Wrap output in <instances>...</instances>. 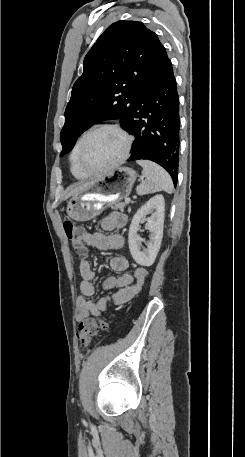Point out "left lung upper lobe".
<instances>
[{"label":"left lung upper lobe","mask_w":245,"mask_h":457,"mask_svg":"<svg viewBox=\"0 0 245 457\" xmlns=\"http://www.w3.org/2000/svg\"><path fill=\"white\" fill-rule=\"evenodd\" d=\"M160 44L156 33L141 22L120 20L103 32L85 56L83 74L73 85L60 156L96 122L120 119L122 127L129 122Z\"/></svg>","instance_id":"5c2ea615"}]
</instances>
